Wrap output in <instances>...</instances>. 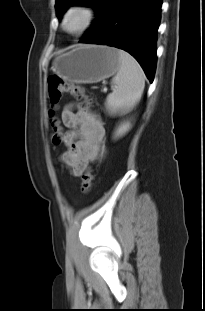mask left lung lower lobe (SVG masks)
I'll use <instances>...</instances> for the list:
<instances>
[{
    "label": "left lung lower lobe",
    "mask_w": 205,
    "mask_h": 311,
    "mask_svg": "<svg viewBox=\"0 0 205 311\" xmlns=\"http://www.w3.org/2000/svg\"><path fill=\"white\" fill-rule=\"evenodd\" d=\"M161 5L162 0H114L103 20L79 42L127 51L137 59L152 82Z\"/></svg>",
    "instance_id": "obj_1"
}]
</instances>
